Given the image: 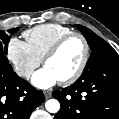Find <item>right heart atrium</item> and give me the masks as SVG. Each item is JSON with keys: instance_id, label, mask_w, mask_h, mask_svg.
<instances>
[{"instance_id": "d8ad5b80", "label": "right heart atrium", "mask_w": 119, "mask_h": 119, "mask_svg": "<svg viewBox=\"0 0 119 119\" xmlns=\"http://www.w3.org/2000/svg\"><path fill=\"white\" fill-rule=\"evenodd\" d=\"M7 56L16 74L24 79L30 78L41 64V60L32 52L27 42L17 37L10 39Z\"/></svg>"}]
</instances>
